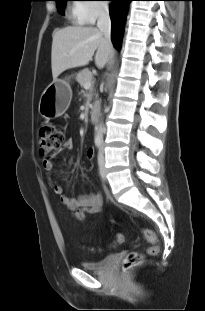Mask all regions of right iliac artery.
Returning <instances> with one entry per match:
<instances>
[{"mask_svg":"<svg viewBox=\"0 0 205 311\" xmlns=\"http://www.w3.org/2000/svg\"><path fill=\"white\" fill-rule=\"evenodd\" d=\"M95 144H96L97 147H99L101 145V142L100 141H96Z\"/></svg>","mask_w":205,"mask_h":311,"instance_id":"82829eb1","label":"right iliac artery"}]
</instances>
